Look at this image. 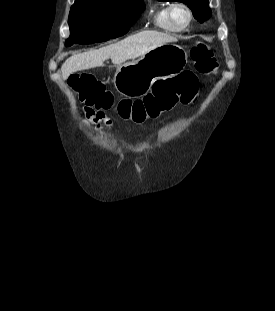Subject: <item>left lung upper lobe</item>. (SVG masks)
Instances as JSON below:
<instances>
[{"mask_svg": "<svg viewBox=\"0 0 275 311\" xmlns=\"http://www.w3.org/2000/svg\"><path fill=\"white\" fill-rule=\"evenodd\" d=\"M159 1H177L187 4L192 10L194 17L199 22H204L211 16L208 0H159Z\"/></svg>", "mask_w": 275, "mask_h": 311, "instance_id": "5c2ea615", "label": "left lung upper lobe"}]
</instances>
